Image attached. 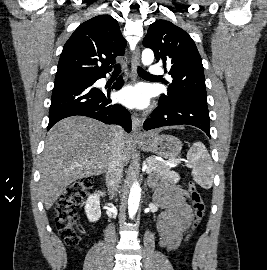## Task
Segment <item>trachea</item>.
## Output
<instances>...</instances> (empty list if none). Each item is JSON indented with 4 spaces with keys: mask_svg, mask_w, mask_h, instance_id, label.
Instances as JSON below:
<instances>
[{
    "mask_svg": "<svg viewBox=\"0 0 267 270\" xmlns=\"http://www.w3.org/2000/svg\"><path fill=\"white\" fill-rule=\"evenodd\" d=\"M120 71H121L120 65H115L113 73H120ZM137 72H138L139 75H145V76H152L153 77V75L149 74L148 72H146L144 69H142L139 66L137 68Z\"/></svg>",
    "mask_w": 267,
    "mask_h": 270,
    "instance_id": "1",
    "label": "trachea"
}]
</instances>
